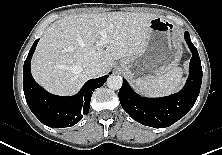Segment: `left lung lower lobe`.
Wrapping results in <instances>:
<instances>
[{"label": "left lung lower lobe", "instance_id": "1", "mask_svg": "<svg viewBox=\"0 0 222 155\" xmlns=\"http://www.w3.org/2000/svg\"><path fill=\"white\" fill-rule=\"evenodd\" d=\"M184 38L192 52V58L188 79L178 93L160 98L141 97L123 79V85L118 94L119 100L122 108L137 122L155 128L168 127L193 107L200 92L202 67L199 54L188 32L184 33Z\"/></svg>", "mask_w": 222, "mask_h": 155}]
</instances>
